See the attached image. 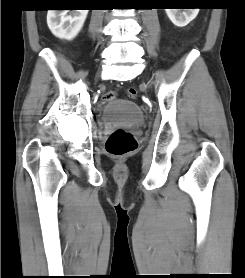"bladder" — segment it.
Instances as JSON below:
<instances>
[{"instance_id":"31cf9c89","label":"bladder","mask_w":245,"mask_h":278,"mask_svg":"<svg viewBox=\"0 0 245 278\" xmlns=\"http://www.w3.org/2000/svg\"><path fill=\"white\" fill-rule=\"evenodd\" d=\"M103 125H118L122 128H134L142 124L143 115L133 102L113 99L107 102L101 114Z\"/></svg>"}]
</instances>
